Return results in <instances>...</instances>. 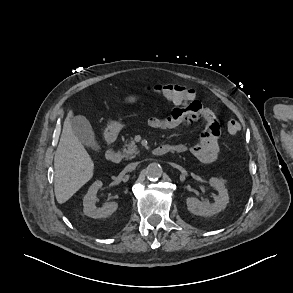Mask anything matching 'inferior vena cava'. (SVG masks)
I'll return each instance as SVG.
<instances>
[{"mask_svg": "<svg viewBox=\"0 0 293 293\" xmlns=\"http://www.w3.org/2000/svg\"><path fill=\"white\" fill-rule=\"evenodd\" d=\"M137 166V163H130L125 167L126 172H131L133 171Z\"/></svg>", "mask_w": 293, "mask_h": 293, "instance_id": "obj_1", "label": "inferior vena cava"}]
</instances>
